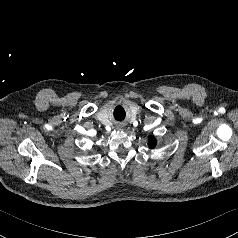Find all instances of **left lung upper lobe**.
<instances>
[{
    "mask_svg": "<svg viewBox=\"0 0 238 238\" xmlns=\"http://www.w3.org/2000/svg\"><path fill=\"white\" fill-rule=\"evenodd\" d=\"M157 142L154 136H150L149 140H148V146L150 149L155 148Z\"/></svg>",
    "mask_w": 238,
    "mask_h": 238,
    "instance_id": "obj_1",
    "label": "left lung upper lobe"
}]
</instances>
